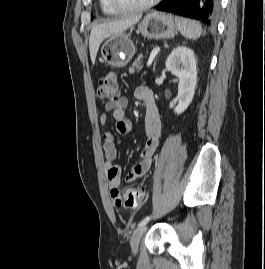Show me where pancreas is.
I'll return each mask as SVG.
<instances>
[{
	"label": "pancreas",
	"instance_id": "pancreas-1",
	"mask_svg": "<svg viewBox=\"0 0 265 269\" xmlns=\"http://www.w3.org/2000/svg\"><path fill=\"white\" fill-rule=\"evenodd\" d=\"M143 55L140 54L138 58L133 62L132 67L129 68V73H134L135 71H139L143 68Z\"/></svg>",
	"mask_w": 265,
	"mask_h": 269
}]
</instances>
